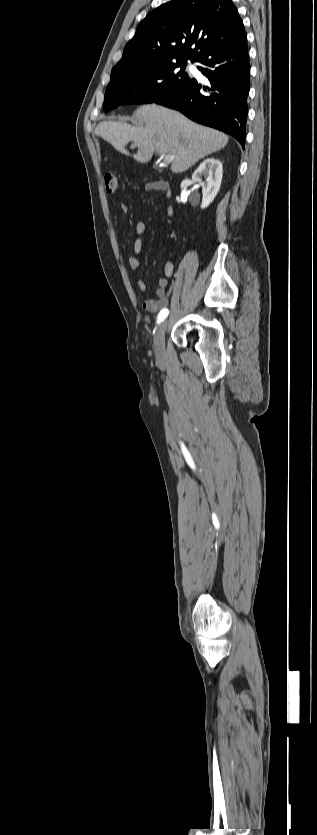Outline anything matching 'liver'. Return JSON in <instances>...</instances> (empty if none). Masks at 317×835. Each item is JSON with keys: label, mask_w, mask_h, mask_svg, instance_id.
I'll use <instances>...</instances> for the list:
<instances>
[{"label": "liver", "mask_w": 317, "mask_h": 835, "mask_svg": "<svg viewBox=\"0 0 317 835\" xmlns=\"http://www.w3.org/2000/svg\"><path fill=\"white\" fill-rule=\"evenodd\" d=\"M134 117L143 124L133 126L124 121H102L95 135L110 143L117 151L129 155L125 146L134 142L137 162L146 163L154 152L174 155L171 171L182 173L200 159L224 148L228 136L218 130L199 125L178 111L156 104L142 105Z\"/></svg>", "instance_id": "1"}]
</instances>
